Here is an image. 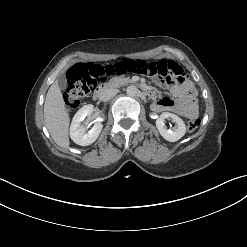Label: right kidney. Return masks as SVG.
<instances>
[{"instance_id": "obj_1", "label": "right kidney", "mask_w": 247, "mask_h": 247, "mask_svg": "<svg viewBox=\"0 0 247 247\" xmlns=\"http://www.w3.org/2000/svg\"><path fill=\"white\" fill-rule=\"evenodd\" d=\"M94 110V106L91 104L83 106L74 115L71 127H70V137L74 143L87 146L92 144L98 138L103 125L101 122H95L91 130L87 131L81 124L82 121L88 116H91Z\"/></svg>"}]
</instances>
